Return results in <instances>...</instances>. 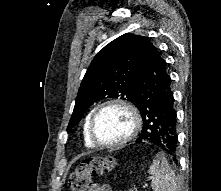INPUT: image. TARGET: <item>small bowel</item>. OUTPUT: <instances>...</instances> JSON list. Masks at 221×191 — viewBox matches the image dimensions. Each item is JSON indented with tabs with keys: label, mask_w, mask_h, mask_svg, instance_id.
I'll use <instances>...</instances> for the list:
<instances>
[{
	"label": "small bowel",
	"mask_w": 221,
	"mask_h": 191,
	"mask_svg": "<svg viewBox=\"0 0 221 191\" xmlns=\"http://www.w3.org/2000/svg\"><path fill=\"white\" fill-rule=\"evenodd\" d=\"M89 191H102V185L99 183L91 184Z\"/></svg>",
	"instance_id": "small-bowel-1"
}]
</instances>
